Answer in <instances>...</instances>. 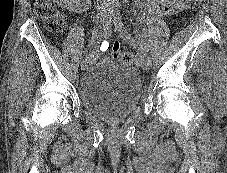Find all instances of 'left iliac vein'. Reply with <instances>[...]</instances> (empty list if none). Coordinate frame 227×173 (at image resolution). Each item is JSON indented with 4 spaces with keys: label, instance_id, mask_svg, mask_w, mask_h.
I'll return each instance as SVG.
<instances>
[{
    "label": "left iliac vein",
    "instance_id": "obj_1",
    "mask_svg": "<svg viewBox=\"0 0 227 173\" xmlns=\"http://www.w3.org/2000/svg\"><path fill=\"white\" fill-rule=\"evenodd\" d=\"M114 15V14H113ZM151 67V59L150 58H146L142 61L141 63V68L144 70V71H149Z\"/></svg>",
    "mask_w": 227,
    "mask_h": 173
}]
</instances>
